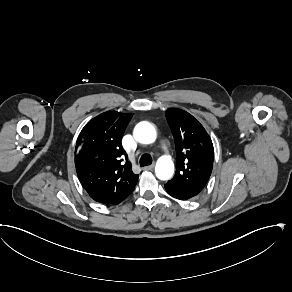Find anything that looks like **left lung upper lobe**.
I'll return each mask as SVG.
<instances>
[{"instance_id":"5c2ea615","label":"left lung upper lobe","mask_w":292,"mask_h":292,"mask_svg":"<svg viewBox=\"0 0 292 292\" xmlns=\"http://www.w3.org/2000/svg\"><path fill=\"white\" fill-rule=\"evenodd\" d=\"M176 147V173L167 183L200 193L207 184L214 160L210 136L188 112L170 108L165 113Z\"/></svg>"}]
</instances>
